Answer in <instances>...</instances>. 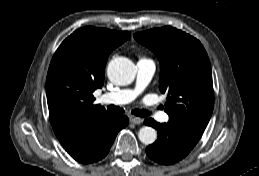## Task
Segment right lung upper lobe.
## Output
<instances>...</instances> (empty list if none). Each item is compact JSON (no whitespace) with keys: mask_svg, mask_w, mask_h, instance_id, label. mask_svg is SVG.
Listing matches in <instances>:
<instances>
[{"mask_svg":"<svg viewBox=\"0 0 259 176\" xmlns=\"http://www.w3.org/2000/svg\"><path fill=\"white\" fill-rule=\"evenodd\" d=\"M129 37L127 31L83 27L56 50L47 74L46 94L52 128L66 151L77 148L110 115L93 104L92 93L104 83L109 54Z\"/></svg>","mask_w":259,"mask_h":176,"instance_id":"cb5924a9","label":"right lung upper lobe"}]
</instances>
